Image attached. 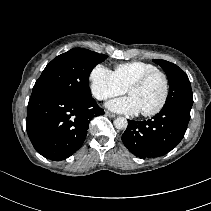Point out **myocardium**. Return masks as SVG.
Masks as SVG:
<instances>
[{
    "mask_svg": "<svg viewBox=\"0 0 211 211\" xmlns=\"http://www.w3.org/2000/svg\"><path fill=\"white\" fill-rule=\"evenodd\" d=\"M156 75H160L164 80V94L161 102L158 104L156 108L147 112H141V115L144 117L155 116L158 113H160L162 109L165 107L170 93V81L168 75L164 71L157 69L155 71H151L149 73L144 74L143 76L132 82L127 88V93L129 94L132 89L143 86L147 81H149L152 77Z\"/></svg>",
    "mask_w": 211,
    "mask_h": 211,
    "instance_id": "obj_1",
    "label": "myocardium"
}]
</instances>
